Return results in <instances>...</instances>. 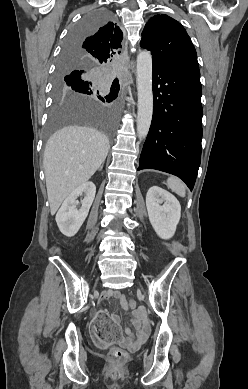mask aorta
<instances>
[{
  "mask_svg": "<svg viewBox=\"0 0 248 389\" xmlns=\"http://www.w3.org/2000/svg\"><path fill=\"white\" fill-rule=\"evenodd\" d=\"M137 133L140 138L148 134L153 114L152 56L147 50L137 56Z\"/></svg>",
  "mask_w": 248,
  "mask_h": 389,
  "instance_id": "obj_1",
  "label": "aorta"
}]
</instances>
